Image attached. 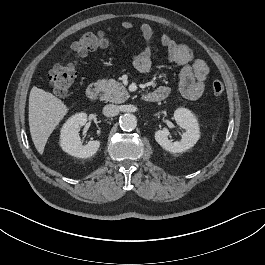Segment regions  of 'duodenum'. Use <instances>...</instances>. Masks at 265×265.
I'll list each match as a JSON object with an SVG mask.
<instances>
[{
  "mask_svg": "<svg viewBox=\"0 0 265 265\" xmlns=\"http://www.w3.org/2000/svg\"><path fill=\"white\" fill-rule=\"evenodd\" d=\"M100 88L97 84H90L86 89V97L90 101H95L99 95ZM166 95L160 91H154L144 95L143 99L145 102L153 103L163 100Z\"/></svg>",
  "mask_w": 265,
  "mask_h": 265,
  "instance_id": "410a0bca",
  "label": "duodenum"
}]
</instances>
